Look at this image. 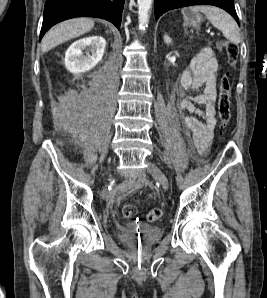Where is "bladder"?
I'll list each match as a JSON object with an SVG mask.
<instances>
[{
	"instance_id": "1",
	"label": "bladder",
	"mask_w": 267,
	"mask_h": 298,
	"mask_svg": "<svg viewBox=\"0 0 267 298\" xmlns=\"http://www.w3.org/2000/svg\"><path fill=\"white\" fill-rule=\"evenodd\" d=\"M163 236V229L156 226L128 224L120 227L118 237L135 248L147 249L155 245Z\"/></svg>"
}]
</instances>
